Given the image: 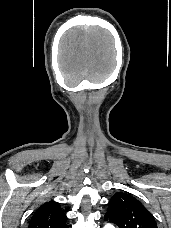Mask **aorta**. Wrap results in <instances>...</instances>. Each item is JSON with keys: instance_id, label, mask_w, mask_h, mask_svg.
Wrapping results in <instances>:
<instances>
[{"instance_id": "1", "label": "aorta", "mask_w": 171, "mask_h": 228, "mask_svg": "<svg viewBox=\"0 0 171 228\" xmlns=\"http://www.w3.org/2000/svg\"><path fill=\"white\" fill-rule=\"evenodd\" d=\"M104 228H114V226L111 225V224H106V225L104 226Z\"/></svg>"}]
</instances>
